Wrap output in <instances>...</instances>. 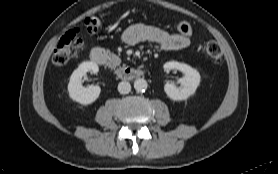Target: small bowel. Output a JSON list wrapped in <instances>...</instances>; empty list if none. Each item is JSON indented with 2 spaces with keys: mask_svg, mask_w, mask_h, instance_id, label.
I'll use <instances>...</instances> for the list:
<instances>
[{
  "mask_svg": "<svg viewBox=\"0 0 278 174\" xmlns=\"http://www.w3.org/2000/svg\"><path fill=\"white\" fill-rule=\"evenodd\" d=\"M122 41L127 45L147 42L167 51L185 49L191 43L189 36L170 33L161 28L145 24H134L128 27L122 34Z\"/></svg>",
  "mask_w": 278,
  "mask_h": 174,
  "instance_id": "c3829d8e",
  "label": "small bowel"
}]
</instances>
